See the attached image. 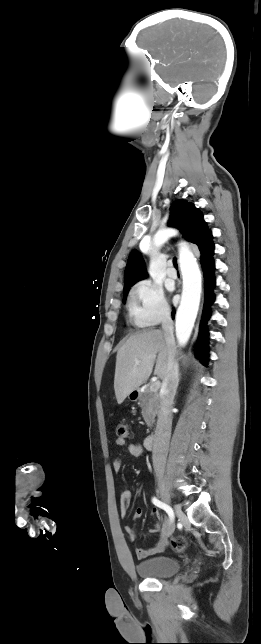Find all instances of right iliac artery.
<instances>
[{
	"label": "right iliac artery",
	"instance_id": "82829eb1",
	"mask_svg": "<svg viewBox=\"0 0 261 644\" xmlns=\"http://www.w3.org/2000/svg\"><path fill=\"white\" fill-rule=\"evenodd\" d=\"M152 503H153L154 505H156L157 507H159V508H161V509L165 510V511L167 512V514L169 515V517H170V520H171V521H173V520H174V512H173L172 508H171L169 505H167V504H165V503L161 502V501H160V500H158L156 497H153V498H152Z\"/></svg>",
	"mask_w": 261,
	"mask_h": 644
}]
</instances>
